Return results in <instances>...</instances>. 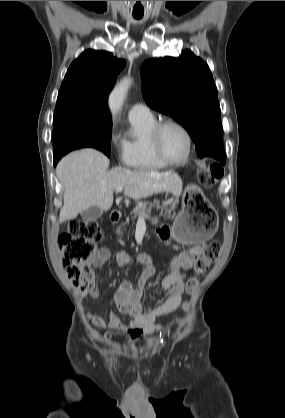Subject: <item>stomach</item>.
Returning a JSON list of instances; mask_svg holds the SVG:
<instances>
[{
    "label": "stomach",
    "mask_w": 285,
    "mask_h": 418,
    "mask_svg": "<svg viewBox=\"0 0 285 418\" xmlns=\"http://www.w3.org/2000/svg\"><path fill=\"white\" fill-rule=\"evenodd\" d=\"M214 207L200 189L189 186L182 195V209L172 225L173 239L184 245H194L213 237L217 231Z\"/></svg>",
    "instance_id": "1"
}]
</instances>
